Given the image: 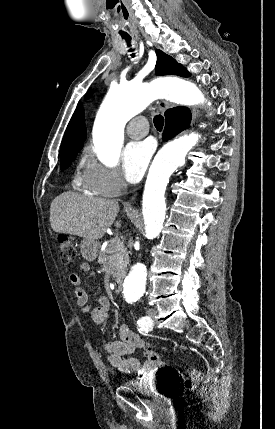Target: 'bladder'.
<instances>
[{
	"label": "bladder",
	"instance_id": "1",
	"mask_svg": "<svg viewBox=\"0 0 275 429\" xmlns=\"http://www.w3.org/2000/svg\"><path fill=\"white\" fill-rule=\"evenodd\" d=\"M177 377L132 378L133 393H141L142 398H152L153 403H174L179 398Z\"/></svg>",
	"mask_w": 275,
	"mask_h": 429
}]
</instances>
